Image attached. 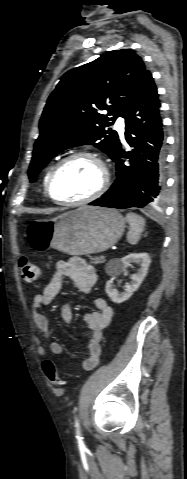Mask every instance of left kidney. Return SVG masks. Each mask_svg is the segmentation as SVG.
<instances>
[{
	"instance_id": "1",
	"label": "left kidney",
	"mask_w": 187,
	"mask_h": 479,
	"mask_svg": "<svg viewBox=\"0 0 187 479\" xmlns=\"http://www.w3.org/2000/svg\"><path fill=\"white\" fill-rule=\"evenodd\" d=\"M131 263L138 264L140 268L137 274L131 276V282L125 286L124 292H117L112 284V280H108L106 282L105 291L108 297L114 303H122L128 300L132 296V294L139 288L148 272L151 259L148 253H131L127 256H124L123 258L111 259L106 264V273L111 277H115L125 271Z\"/></svg>"
}]
</instances>
